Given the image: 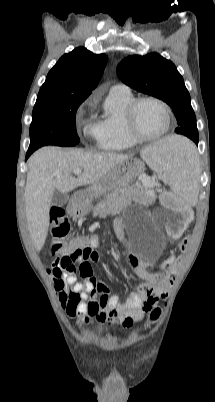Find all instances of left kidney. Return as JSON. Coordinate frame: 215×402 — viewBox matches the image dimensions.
I'll return each instance as SVG.
<instances>
[{
  "label": "left kidney",
  "mask_w": 215,
  "mask_h": 402,
  "mask_svg": "<svg viewBox=\"0 0 215 402\" xmlns=\"http://www.w3.org/2000/svg\"><path fill=\"white\" fill-rule=\"evenodd\" d=\"M163 202L165 205L169 206V215L173 216L175 220H165L164 227L165 229H170L169 233L171 236H174L175 239L180 240L183 237L182 231L184 230V226L188 225V222L191 221L192 216L190 213L186 211V209L182 206L181 203H178L177 193H171L168 191L163 192L162 194Z\"/></svg>",
  "instance_id": "1"
}]
</instances>
